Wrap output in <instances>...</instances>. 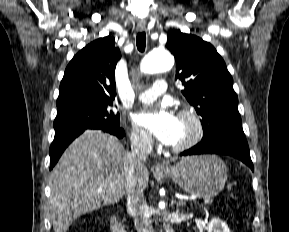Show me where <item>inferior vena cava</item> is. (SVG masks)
<instances>
[{
  "label": "inferior vena cava",
  "instance_id": "602c4592",
  "mask_svg": "<svg viewBox=\"0 0 289 232\" xmlns=\"http://www.w3.org/2000/svg\"><path fill=\"white\" fill-rule=\"evenodd\" d=\"M152 139L146 134L133 137L131 151L127 153L126 165V197L127 212L134 216V224L137 232H153L148 206L144 199L143 190L137 187L134 171L142 166L151 151Z\"/></svg>",
  "mask_w": 289,
  "mask_h": 232
}]
</instances>
